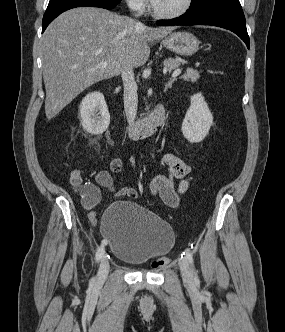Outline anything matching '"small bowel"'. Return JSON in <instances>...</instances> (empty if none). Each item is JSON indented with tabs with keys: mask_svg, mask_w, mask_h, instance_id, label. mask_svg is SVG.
<instances>
[{
	"mask_svg": "<svg viewBox=\"0 0 285 332\" xmlns=\"http://www.w3.org/2000/svg\"><path fill=\"white\" fill-rule=\"evenodd\" d=\"M160 164L169 167L172 177L179 179L177 187L172 180L164 175L155 176L150 184V192L157 196L170 208H177L179 204V194L186 191L188 187L187 176L190 173V167L178 156L172 153L164 154L160 159ZM123 163L121 158L115 157L110 162V171L114 174L121 172ZM96 183L109 191L116 197H128L135 199L138 196L137 191L132 187L116 188L113 179L108 171H99L95 176ZM70 184L73 189L82 197V204L89 211L91 221H94L93 208L99 203L101 195L99 188L90 182L84 180L79 169H73L70 173Z\"/></svg>",
	"mask_w": 285,
	"mask_h": 332,
	"instance_id": "1",
	"label": "small bowel"
}]
</instances>
